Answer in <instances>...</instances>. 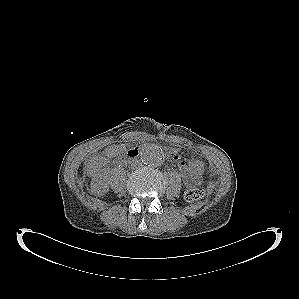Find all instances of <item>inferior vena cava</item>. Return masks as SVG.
I'll return each instance as SVG.
<instances>
[{"mask_svg": "<svg viewBox=\"0 0 299 299\" xmlns=\"http://www.w3.org/2000/svg\"><path fill=\"white\" fill-rule=\"evenodd\" d=\"M140 161H135V163H132V166L133 167H137V166H140Z\"/></svg>", "mask_w": 299, "mask_h": 299, "instance_id": "1", "label": "inferior vena cava"}]
</instances>
